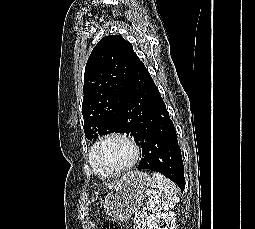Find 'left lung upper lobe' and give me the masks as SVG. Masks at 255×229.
Segmentation results:
<instances>
[{
  "instance_id": "1",
  "label": "left lung upper lobe",
  "mask_w": 255,
  "mask_h": 229,
  "mask_svg": "<svg viewBox=\"0 0 255 229\" xmlns=\"http://www.w3.org/2000/svg\"><path fill=\"white\" fill-rule=\"evenodd\" d=\"M139 63L132 44L120 35L105 36L94 47L85 67L83 87L82 115L87 139L127 133L119 116Z\"/></svg>"
}]
</instances>
